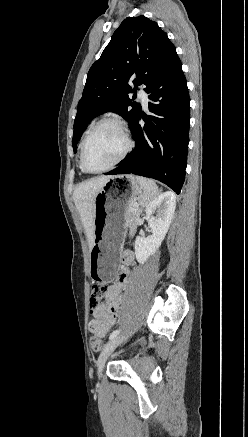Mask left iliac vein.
<instances>
[{
	"instance_id": "4c4485c4",
	"label": "left iliac vein",
	"mask_w": 248,
	"mask_h": 437,
	"mask_svg": "<svg viewBox=\"0 0 248 437\" xmlns=\"http://www.w3.org/2000/svg\"><path fill=\"white\" fill-rule=\"evenodd\" d=\"M125 339V336L119 335L114 338H112L103 348L102 352L99 355V358L97 360V373L98 377H101L102 370L104 368V365L108 359V357L111 355V353L117 348V346Z\"/></svg>"
}]
</instances>
